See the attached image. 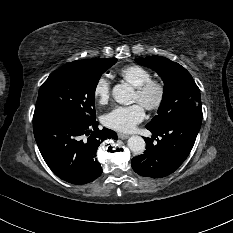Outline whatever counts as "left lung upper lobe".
<instances>
[{
    "mask_svg": "<svg viewBox=\"0 0 233 233\" xmlns=\"http://www.w3.org/2000/svg\"><path fill=\"white\" fill-rule=\"evenodd\" d=\"M136 62L155 70L164 81L163 99L158 114L146 127L160 129L192 110L201 109L199 88L181 65L161 56L137 58Z\"/></svg>",
    "mask_w": 233,
    "mask_h": 233,
    "instance_id": "obj_1",
    "label": "left lung upper lobe"
}]
</instances>
